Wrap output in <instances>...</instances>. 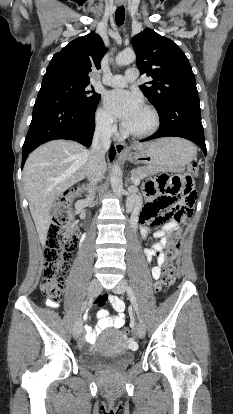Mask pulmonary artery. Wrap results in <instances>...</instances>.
Returning a JSON list of instances; mask_svg holds the SVG:
<instances>
[{
    "mask_svg": "<svg viewBox=\"0 0 233 414\" xmlns=\"http://www.w3.org/2000/svg\"><path fill=\"white\" fill-rule=\"evenodd\" d=\"M139 76L138 70L136 68H129L126 70L124 75H113L107 78L104 82L105 84L112 87H124L128 83L135 81Z\"/></svg>",
    "mask_w": 233,
    "mask_h": 414,
    "instance_id": "pulmonary-artery-1",
    "label": "pulmonary artery"
}]
</instances>
